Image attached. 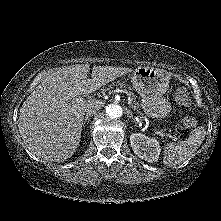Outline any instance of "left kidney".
Returning <instances> with one entry per match:
<instances>
[{"label":"left kidney","instance_id":"left-kidney-1","mask_svg":"<svg viewBox=\"0 0 221 221\" xmlns=\"http://www.w3.org/2000/svg\"><path fill=\"white\" fill-rule=\"evenodd\" d=\"M130 143L134 153L147 162H157L161 148L155 138H150L141 133H133L130 136Z\"/></svg>","mask_w":221,"mask_h":221}]
</instances>
